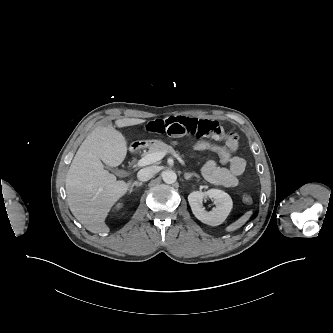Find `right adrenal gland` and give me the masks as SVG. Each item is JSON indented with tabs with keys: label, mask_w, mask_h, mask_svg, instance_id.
Wrapping results in <instances>:
<instances>
[{
	"label": "right adrenal gland",
	"mask_w": 333,
	"mask_h": 333,
	"mask_svg": "<svg viewBox=\"0 0 333 333\" xmlns=\"http://www.w3.org/2000/svg\"><path fill=\"white\" fill-rule=\"evenodd\" d=\"M134 186H137V187H142L143 186V183L142 182H134L131 186H130V189H129V192L131 193L133 191V188Z\"/></svg>",
	"instance_id": "right-adrenal-gland-1"
}]
</instances>
